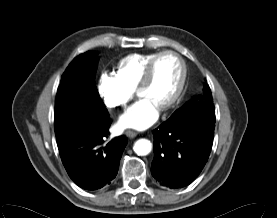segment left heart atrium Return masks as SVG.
I'll return each instance as SVG.
<instances>
[{
    "label": "left heart atrium",
    "instance_id": "1",
    "mask_svg": "<svg viewBox=\"0 0 277 218\" xmlns=\"http://www.w3.org/2000/svg\"><path fill=\"white\" fill-rule=\"evenodd\" d=\"M159 116V107L149 98L141 97L120 117L121 128L145 129L151 126Z\"/></svg>",
    "mask_w": 277,
    "mask_h": 218
}]
</instances>
